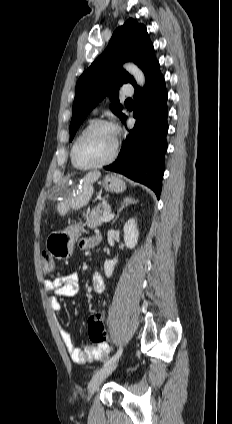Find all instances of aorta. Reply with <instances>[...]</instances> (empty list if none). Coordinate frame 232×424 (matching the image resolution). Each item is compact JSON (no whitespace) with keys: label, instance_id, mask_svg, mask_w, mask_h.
Wrapping results in <instances>:
<instances>
[{"label":"aorta","instance_id":"obj_1","mask_svg":"<svg viewBox=\"0 0 232 424\" xmlns=\"http://www.w3.org/2000/svg\"><path fill=\"white\" fill-rule=\"evenodd\" d=\"M124 69L129 72L136 80L139 86H143L145 84V76L143 72L133 63L124 64Z\"/></svg>","mask_w":232,"mask_h":424}]
</instances>
